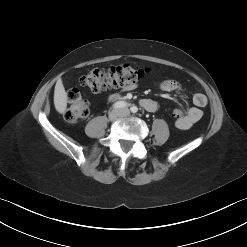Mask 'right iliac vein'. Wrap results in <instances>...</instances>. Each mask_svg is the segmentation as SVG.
Listing matches in <instances>:
<instances>
[{
	"instance_id": "right-iliac-vein-1",
	"label": "right iliac vein",
	"mask_w": 247,
	"mask_h": 247,
	"mask_svg": "<svg viewBox=\"0 0 247 247\" xmlns=\"http://www.w3.org/2000/svg\"><path fill=\"white\" fill-rule=\"evenodd\" d=\"M120 115H121V111L118 110L111 111L109 114V120L115 121L118 117H120Z\"/></svg>"
}]
</instances>
